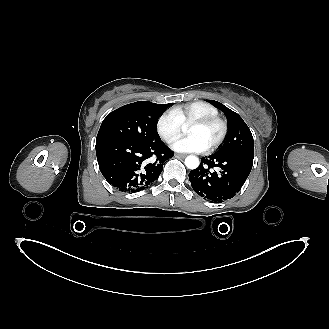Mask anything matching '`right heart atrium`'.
<instances>
[{
    "mask_svg": "<svg viewBox=\"0 0 329 329\" xmlns=\"http://www.w3.org/2000/svg\"><path fill=\"white\" fill-rule=\"evenodd\" d=\"M156 131L166 143H171L180 136L182 124L173 110L160 114L156 120Z\"/></svg>",
    "mask_w": 329,
    "mask_h": 329,
    "instance_id": "d8ad5b80",
    "label": "right heart atrium"
}]
</instances>
